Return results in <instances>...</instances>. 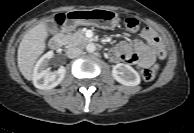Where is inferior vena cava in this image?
I'll return each mask as SVG.
<instances>
[{
  "instance_id": "obj_1",
  "label": "inferior vena cava",
  "mask_w": 194,
  "mask_h": 133,
  "mask_svg": "<svg viewBox=\"0 0 194 133\" xmlns=\"http://www.w3.org/2000/svg\"><path fill=\"white\" fill-rule=\"evenodd\" d=\"M66 54H67L68 58L72 59V58H75V57L81 55L82 49L78 48V47H70L67 49Z\"/></svg>"
}]
</instances>
